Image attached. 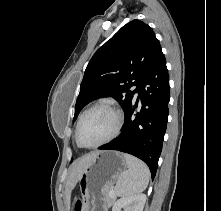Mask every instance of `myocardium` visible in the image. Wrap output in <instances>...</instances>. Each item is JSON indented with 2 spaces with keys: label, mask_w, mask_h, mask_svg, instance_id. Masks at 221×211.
I'll use <instances>...</instances> for the list:
<instances>
[{
  "label": "myocardium",
  "mask_w": 221,
  "mask_h": 211,
  "mask_svg": "<svg viewBox=\"0 0 221 211\" xmlns=\"http://www.w3.org/2000/svg\"><path fill=\"white\" fill-rule=\"evenodd\" d=\"M97 108H105V109L111 111L114 114V116H115V126H114V129H113L112 133L108 137L103 139L102 141H100L98 143H95V144H92V145H84V144L81 143L80 137H79V133H80V128H81L82 122H83L85 116L89 112H91L92 110L97 109ZM122 125H123V115H122L121 111L117 107H115L113 104H111L109 102L100 101V102H97V103L91 105L89 108H87L81 114V116H80V118L78 120V123H77V127H76L75 139H76L77 144L80 147H82V148H88V149H90V148H97V147L105 145V144L111 142L112 140H114L118 136V134L120 133Z\"/></svg>",
  "instance_id": "obj_1"
}]
</instances>
